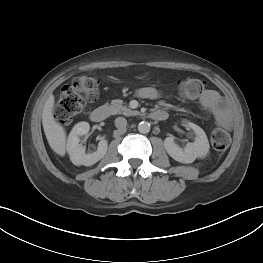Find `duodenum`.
Wrapping results in <instances>:
<instances>
[{"label":"duodenum","instance_id":"1","mask_svg":"<svg viewBox=\"0 0 263 263\" xmlns=\"http://www.w3.org/2000/svg\"><path fill=\"white\" fill-rule=\"evenodd\" d=\"M108 116V108L105 106H100L93 109L90 113V119L93 122L100 123L103 122ZM150 117L154 120L162 121L167 119L168 114L164 110H156L150 113Z\"/></svg>","mask_w":263,"mask_h":263}]
</instances>
